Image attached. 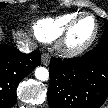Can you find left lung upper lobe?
<instances>
[{"label":"left lung upper lobe","mask_w":108,"mask_h":108,"mask_svg":"<svg viewBox=\"0 0 108 108\" xmlns=\"http://www.w3.org/2000/svg\"><path fill=\"white\" fill-rule=\"evenodd\" d=\"M106 26H105V32L102 35L101 41H108V21L105 20Z\"/></svg>","instance_id":"1"}]
</instances>
